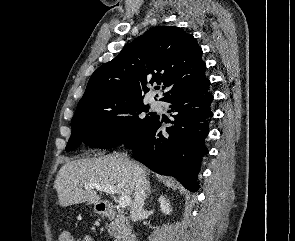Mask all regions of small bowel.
<instances>
[{"instance_id":"c3829d8e","label":"small bowel","mask_w":295,"mask_h":241,"mask_svg":"<svg viewBox=\"0 0 295 241\" xmlns=\"http://www.w3.org/2000/svg\"><path fill=\"white\" fill-rule=\"evenodd\" d=\"M59 241H60V238H59ZM83 241H95V239L91 235H86Z\"/></svg>"}]
</instances>
